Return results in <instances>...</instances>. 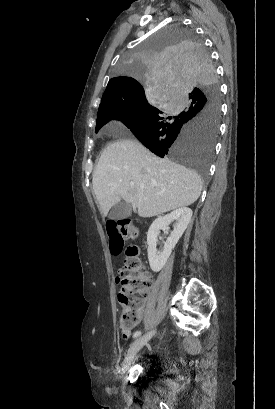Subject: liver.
<instances>
[{
  "label": "liver",
  "instance_id": "obj_1",
  "mask_svg": "<svg viewBox=\"0 0 275 409\" xmlns=\"http://www.w3.org/2000/svg\"><path fill=\"white\" fill-rule=\"evenodd\" d=\"M92 182L102 217H107L121 198L131 202L139 217H155L192 205L202 190L196 170L169 158H159L135 138L108 144L93 172Z\"/></svg>",
  "mask_w": 275,
  "mask_h": 409
}]
</instances>
